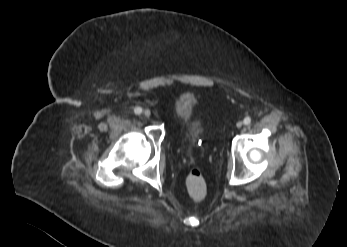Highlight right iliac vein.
Listing matches in <instances>:
<instances>
[{"instance_id":"63e3f726","label":"right iliac vein","mask_w":347,"mask_h":247,"mask_svg":"<svg viewBox=\"0 0 347 247\" xmlns=\"http://www.w3.org/2000/svg\"><path fill=\"white\" fill-rule=\"evenodd\" d=\"M143 115H144L145 117H149V116L151 115V112H150L149 110H145V111L143 112Z\"/></svg>"}]
</instances>
